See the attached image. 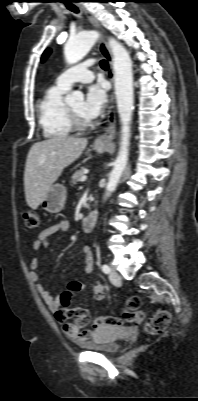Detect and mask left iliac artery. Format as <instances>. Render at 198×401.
I'll return each instance as SVG.
<instances>
[{
  "mask_svg": "<svg viewBox=\"0 0 198 401\" xmlns=\"http://www.w3.org/2000/svg\"><path fill=\"white\" fill-rule=\"evenodd\" d=\"M102 271L107 274L110 272V267L108 265L104 264V265H102Z\"/></svg>",
  "mask_w": 198,
  "mask_h": 401,
  "instance_id": "1",
  "label": "left iliac artery"
}]
</instances>
